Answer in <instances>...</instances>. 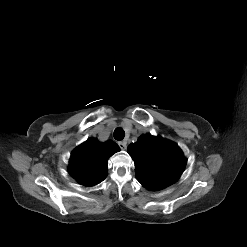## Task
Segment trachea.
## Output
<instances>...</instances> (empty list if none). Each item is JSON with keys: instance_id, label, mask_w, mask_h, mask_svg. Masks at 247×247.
Instances as JSON below:
<instances>
[{"instance_id": "3493384b", "label": "trachea", "mask_w": 247, "mask_h": 247, "mask_svg": "<svg viewBox=\"0 0 247 247\" xmlns=\"http://www.w3.org/2000/svg\"><path fill=\"white\" fill-rule=\"evenodd\" d=\"M125 137V132L122 128H116L114 131V138L121 141Z\"/></svg>"}]
</instances>
